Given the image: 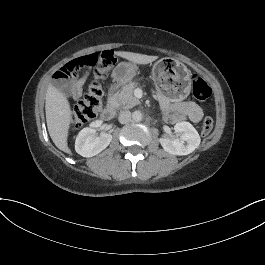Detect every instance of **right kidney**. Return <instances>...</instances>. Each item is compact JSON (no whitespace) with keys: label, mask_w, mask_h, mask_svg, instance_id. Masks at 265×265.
I'll list each match as a JSON object with an SVG mask.
<instances>
[{"label":"right kidney","mask_w":265,"mask_h":265,"mask_svg":"<svg viewBox=\"0 0 265 265\" xmlns=\"http://www.w3.org/2000/svg\"><path fill=\"white\" fill-rule=\"evenodd\" d=\"M102 125V120L90 123L89 127L83 128L77 135L75 150L83 157H92L103 151L112 141V135L101 133L96 135V128Z\"/></svg>","instance_id":"ca27d5eb"}]
</instances>
